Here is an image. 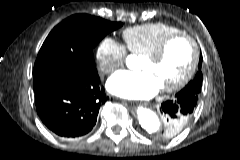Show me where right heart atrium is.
<instances>
[{"instance_id":"right-heart-atrium-1","label":"right heart atrium","mask_w":240,"mask_h":160,"mask_svg":"<svg viewBox=\"0 0 240 160\" xmlns=\"http://www.w3.org/2000/svg\"><path fill=\"white\" fill-rule=\"evenodd\" d=\"M127 55L126 47L113 38H104L96 51L100 71L111 74L123 66Z\"/></svg>"}]
</instances>
